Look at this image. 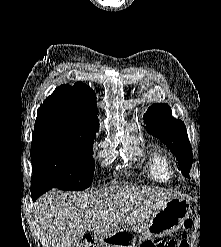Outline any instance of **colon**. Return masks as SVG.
<instances>
[{
    "mask_svg": "<svg viewBox=\"0 0 221 247\" xmlns=\"http://www.w3.org/2000/svg\"><path fill=\"white\" fill-rule=\"evenodd\" d=\"M193 222L191 219L185 221L184 232L182 238L179 241L168 240H149L142 243L141 247H189L188 243V230L192 228ZM93 241L90 238H86V241L81 247H93Z\"/></svg>",
    "mask_w": 221,
    "mask_h": 247,
    "instance_id": "5ec220e1",
    "label": "colon"
}]
</instances>
